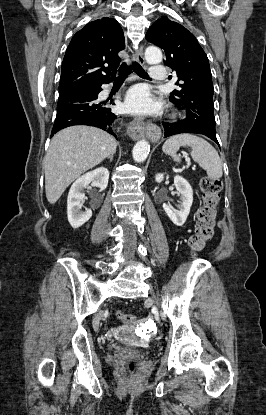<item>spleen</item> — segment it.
Returning <instances> with one entry per match:
<instances>
[{
  "mask_svg": "<svg viewBox=\"0 0 266 415\" xmlns=\"http://www.w3.org/2000/svg\"><path fill=\"white\" fill-rule=\"evenodd\" d=\"M190 147L192 159L206 170L210 179L222 177V163L216 149L205 139L192 134H179L170 137L162 147L164 153L170 155L174 161L180 162L177 155L180 147Z\"/></svg>",
  "mask_w": 266,
  "mask_h": 415,
  "instance_id": "3e777b00",
  "label": "spleen"
}]
</instances>
